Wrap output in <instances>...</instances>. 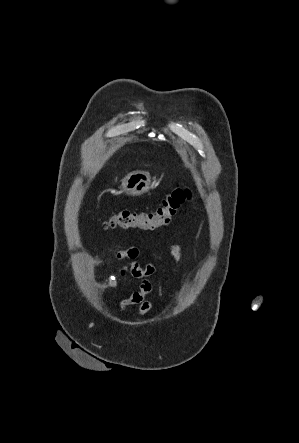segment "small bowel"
<instances>
[{
    "label": "small bowel",
    "mask_w": 299,
    "mask_h": 443,
    "mask_svg": "<svg viewBox=\"0 0 299 443\" xmlns=\"http://www.w3.org/2000/svg\"><path fill=\"white\" fill-rule=\"evenodd\" d=\"M170 251L175 259L177 265L183 260V255L181 253V248L178 243L172 242L170 244ZM140 255V250L136 246H130L126 249L119 250L116 253L118 260L128 259L127 262L121 269L120 274L124 276L129 273L132 278L139 281V288L132 292L127 298L120 302L121 309H125L128 306L136 305L138 306V313L140 316H144L150 312L154 304L146 299V296L151 293L153 285L149 280V277L156 271L157 265L154 263H149L145 266L140 265L137 262V258Z\"/></svg>",
    "instance_id": "small-bowel-1"
}]
</instances>
